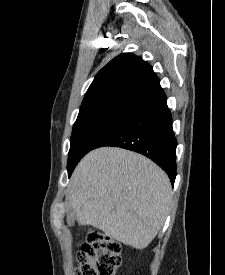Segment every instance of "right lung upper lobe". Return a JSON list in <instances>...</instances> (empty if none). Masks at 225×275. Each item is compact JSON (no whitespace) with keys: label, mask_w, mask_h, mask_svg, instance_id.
Wrapping results in <instances>:
<instances>
[{"label":"right lung upper lobe","mask_w":225,"mask_h":275,"mask_svg":"<svg viewBox=\"0 0 225 275\" xmlns=\"http://www.w3.org/2000/svg\"><path fill=\"white\" fill-rule=\"evenodd\" d=\"M164 98L152 67L132 53H122L95 76L77 120L100 113L128 115Z\"/></svg>","instance_id":"right-lung-upper-lobe-1"}]
</instances>
